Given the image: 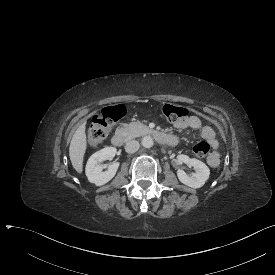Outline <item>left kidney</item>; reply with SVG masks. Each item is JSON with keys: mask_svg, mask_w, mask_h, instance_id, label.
I'll return each mask as SVG.
<instances>
[{"mask_svg": "<svg viewBox=\"0 0 275 275\" xmlns=\"http://www.w3.org/2000/svg\"><path fill=\"white\" fill-rule=\"evenodd\" d=\"M178 160L187 164L188 166H192L195 169V173L192 176H188L184 171H178V179L179 181L193 189H199L204 186L207 178L209 177L210 171L206 164L202 161L197 160L195 158H188L185 155H179Z\"/></svg>", "mask_w": 275, "mask_h": 275, "instance_id": "5707ae66", "label": "left kidney"}]
</instances>
